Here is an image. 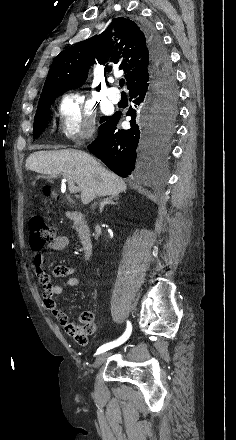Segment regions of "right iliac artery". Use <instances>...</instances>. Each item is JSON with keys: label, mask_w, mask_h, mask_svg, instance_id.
<instances>
[{"label": "right iliac artery", "mask_w": 236, "mask_h": 440, "mask_svg": "<svg viewBox=\"0 0 236 440\" xmlns=\"http://www.w3.org/2000/svg\"><path fill=\"white\" fill-rule=\"evenodd\" d=\"M131 332H132V326H131V323L128 321L127 322V329L124 332V334L119 339H117V340H115L113 342L106 343V344L102 345L101 347H99L97 352H96V354L103 353V352H105L107 350H110V349H112V348H114L116 346L121 345L122 343H124L129 338Z\"/></svg>", "instance_id": "right-iliac-artery-1"}]
</instances>
